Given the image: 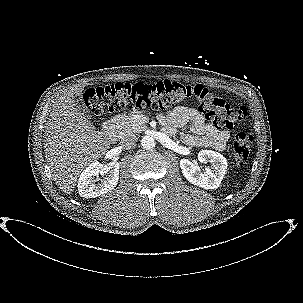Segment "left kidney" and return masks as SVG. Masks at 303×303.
<instances>
[{
  "label": "left kidney",
  "mask_w": 303,
  "mask_h": 303,
  "mask_svg": "<svg viewBox=\"0 0 303 303\" xmlns=\"http://www.w3.org/2000/svg\"><path fill=\"white\" fill-rule=\"evenodd\" d=\"M201 163H210V166L201 172L200 167L188 159L180 160L183 176L192 184L204 189H216L221 184L227 170L226 158L212 150H201L198 153Z\"/></svg>",
  "instance_id": "5707ae66"
}]
</instances>
